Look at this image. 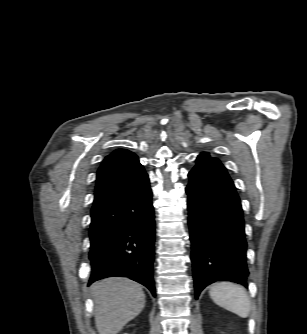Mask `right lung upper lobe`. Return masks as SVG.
Wrapping results in <instances>:
<instances>
[{
	"label": "right lung upper lobe",
	"instance_id": "cb5924a9",
	"mask_svg": "<svg viewBox=\"0 0 307 334\" xmlns=\"http://www.w3.org/2000/svg\"><path fill=\"white\" fill-rule=\"evenodd\" d=\"M146 175L138 157L125 149L106 156L97 172L93 207L118 195Z\"/></svg>",
	"mask_w": 307,
	"mask_h": 334
}]
</instances>
